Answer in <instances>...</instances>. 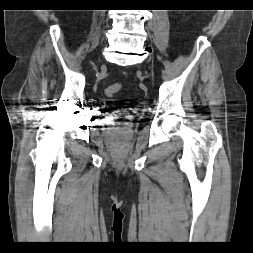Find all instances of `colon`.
<instances>
[{
    "label": "colon",
    "instance_id": "obj_1",
    "mask_svg": "<svg viewBox=\"0 0 253 253\" xmlns=\"http://www.w3.org/2000/svg\"><path fill=\"white\" fill-rule=\"evenodd\" d=\"M122 86L119 83H114L106 88V95L112 96L121 90Z\"/></svg>",
    "mask_w": 253,
    "mask_h": 253
}]
</instances>
